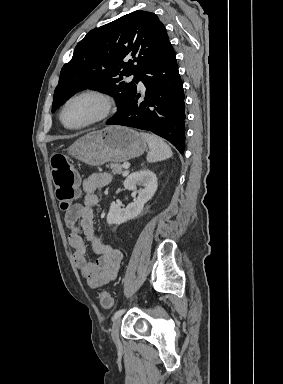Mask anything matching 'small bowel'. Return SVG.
<instances>
[{
  "mask_svg": "<svg viewBox=\"0 0 283 384\" xmlns=\"http://www.w3.org/2000/svg\"><path fill=\"white\" fill-rule=\"evenodd\" d=\"M111 181L108 173L95 172L82 182L85 193L84 202L70 207L64 217L68 229V242L73 249V260L77 269L86 279L88 285L95 289L112 281L118 272L122 253L119 249L105 244L94 229V207L98 202L97 192ZM98 255L95 261L86 257V244Z\"/></svg>",
  "mask_w": 283,
  "mask_h": 384,
  "instance_id": "c3829d8e",
  "label": "small bowel"
}]
</instances>
